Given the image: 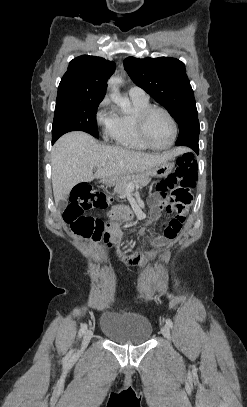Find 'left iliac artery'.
Listing matches in <instances>:
<instances>
[{
  "mask_svg": "<svg viewBox=\"0 0 247 407\" xmlns=\"http://www.w3.org/2000/svg\"><path fill=\"white\" fill-rule=\"evenodd\" d=\"M166 324L172 328L173 327V322L170 319H166Z\"/></svg>",
  "mask_w": 247,
  "mask_h": 407,
  "instance_id": "obj_1",
  "label": "left iliac artery"
}]
</instances>
